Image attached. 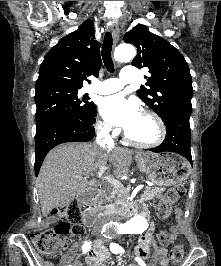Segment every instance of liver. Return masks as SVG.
<instances>
[{"instance_id": "1", "label": "liver", "mask_w": 221, "mask_h": 266, "mask_svg": "<svg viewBox=\"0 0 221 266\" xmlns=\"http://www.w3.org/2000/svg\"><path fill=\"white\" fill-rule=\"evenodd\" d=\"M131 162L132 152L123 148L103 150L95 143L81 142L58 145L47 154L37 179L43 216L83 193L89 185L83 176L108 167L113 175L122 177L128 174Z\"/></svg>"}]
</instances>
